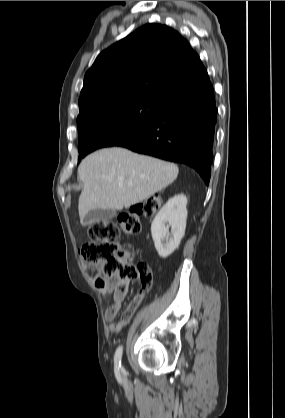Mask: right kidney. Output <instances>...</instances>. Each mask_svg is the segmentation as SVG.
<instances>
[{"mask_svg":"<svg viewBox=\"0 0 285 418\" xmlns=\"http://www.w3.org/2000/svg\"><path fill=\"white\" fill-rule=\"evenodd\" d=\"M187 198L178 194L168 202L155 216L151 224V234L160 257L166 258L179 246L184 236L187 219ZM166 223L168 225L166 226ZM171 227V232H169ZM166 239V242L164 240Z\"/></svg>","mask_w":285,"mask_h":418,"instance_id":"right-kidney-1","label":"right kidney"}]
</instances>
